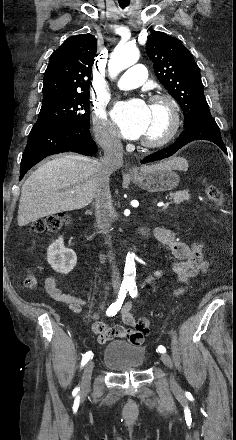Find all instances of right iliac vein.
<instances>
[{
	"label": "right iliac vein",
	"instance_id": "obj_1",
	"mask_svg": "<svg viewBox=\"0 0 236 440\" xmlns=\"http://www.w3.org/2000/svg\"><path fill=\"white\" fill-rule=\"evenodd\" d=\"M93 368H94V362L89 361L83 370L82 382H81V387L83 391H87L90 388Z\"/></svg>",
	"mask_w": 236,
	"mask_h": 440
}]
</instances>
